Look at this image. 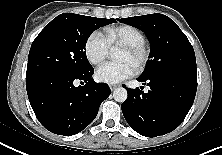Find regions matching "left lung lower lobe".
Wrapping results in <instances>:
<instances>
[{"instance_id": "obj_1", "label": "left lung lower lobe", "mask_w": 222, "mask_h": 155, "mask_svg": "<svg viewBox=\"0 0 222 155\" xmlns=\"http://www.w3.org/2000/svg\"><path fill=\"white\" fill-rule=\"evenodd\" d=\"M150 87L128 89L121 105L127 123L139 134L156 137L176 129L188 114L196 95L197 78L177 73L138 77Z\"/></svg>"}]
</instances>
